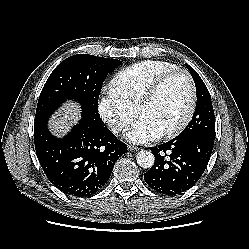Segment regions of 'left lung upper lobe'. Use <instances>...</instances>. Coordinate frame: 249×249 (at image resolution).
Segmentation results:
<instances>
[{
  "instance_id": "left-lung-upper-lobe-1",
  "label": "left lung upper lobe",
  "mask_w": 249,
  "mask_h": 249,
  "mask_svg": "<svg viewBox=\"0 0 249 249\" xmlns=\"http://www.w3.org/2000/svg\"><path fill=\"white\" fill-rule=\"evenodd\" d=\"M185 65L195 82L197 105L192 120L177 137L202 136L215 140V116L209 91L198 73L190 65Z\"/></svg>"
}]
</instances>
